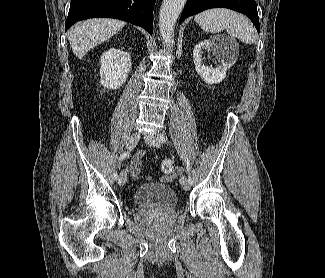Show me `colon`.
Wrapping results in <instances>:
<instances>
[{
  "mask_svg": "<svg viewBox=\"0 0 325 278\" xmlns=\"http://www.w3.org/2000/svg\"><path fill=\"white\" fill-rule=\"evenodd\" d=\"M175 169V164L172 160H164L161 164V171L164 174L165 179H169Z\"/></svg>",
  "mask_w": 325,
  "mask_h": 278,
  "instance_id": "1",
  "label": "colon"
}]
</instances>
